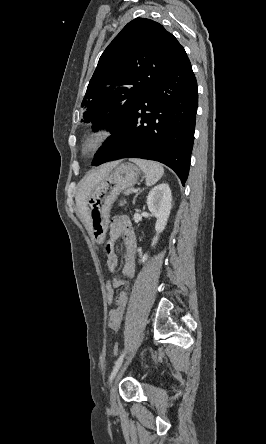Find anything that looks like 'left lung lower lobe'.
<instances>
[{"mask_svg":"<svg viewBox=\"0 0 266 444\" xmlns=\"http://www.w3.org/2000/svg\"><path fill=\"white\" fill-rule=\"evenodd\" d=\"M198 88L187 55L157 82L114 130L92 165L137 157L161 162L188 177L194 141Z\"/></svg>","mask_w":266,"mask_h":444,"instance_id":"obj_1","label":"left lung lower lobe"}]
</instances>
